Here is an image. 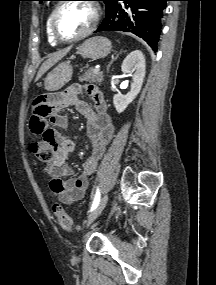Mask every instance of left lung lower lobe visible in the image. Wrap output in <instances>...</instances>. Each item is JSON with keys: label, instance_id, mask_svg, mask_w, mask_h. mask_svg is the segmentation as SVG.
Returning <instances> with one entry per match:
<instances>
[{"label": "left lung lower lobe", "instance_id": "0a47b994", "mask_svg": "<svg viewBox=\"0 0 216 285\" xmlns=\"http://www.w3.org/2000/svg\"><path fill=\"white\" fill-rule=\"evenodd\" d=\"M166 1L169 0H111L106 8V17L96 32H131L143 38L156 51Z\"/></svg>", "mask_w": 216, "mask_h": 285}]
</instances>
